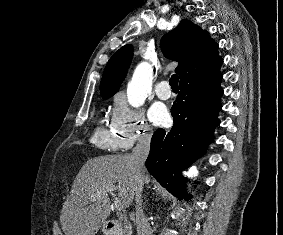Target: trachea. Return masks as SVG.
<instances>
[{
	"label": "trachea",
	"mask_w": 283,
	"mask_h": 235,
	"mask_svg": "<svg viewBox=\"0 0 283 235\" xmlns=\"http://www.w3.org/2000/svg\"><path fill=\"white\" fill-rule=\"evenodd\" d=\"M178 81H179L178 75L174 74L171 76L169 80V84L173 90H178Z\"/></svg>",
	"instance_id": "3493384b"
}]
</instances>
